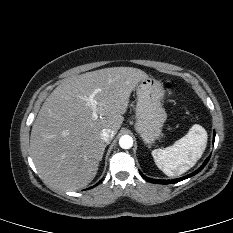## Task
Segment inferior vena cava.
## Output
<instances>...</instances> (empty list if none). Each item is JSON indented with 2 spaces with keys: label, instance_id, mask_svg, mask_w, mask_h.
<instances>
[{
  "label": "inferior vena cava",
  "instance_id": "1",
  "mask_svg": "<svg viewBox=\"0 0 233 233\" xmlns=\"http://www.w3.org/2000/svg\"><path fill=\"white\" fill-rule=\"evenodd\" d=\"M114 137V133L111 129H103L101 131V139L104 141V142H107L109 143Z\"/></svg>",
  "mask_w": 233,
  "mask_h": 233
}]
</instances>
